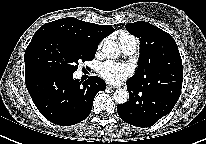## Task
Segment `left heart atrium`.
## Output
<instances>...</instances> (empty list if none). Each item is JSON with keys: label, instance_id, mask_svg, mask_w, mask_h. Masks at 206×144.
<instances>
[{"label": "left heart atrium", "instance_id": "left-heart-atrium-1", "mask_svg": "<svg viewBox=\"0 0 206 144\" xmlns=\"http://www.w3.org/2000/svg\"><path fill=\"white\" fill-rule=\"evenodd\" d=\"M99 75L111 84H119L127 79L132 71L131 68L124 63L107 61L100 65Z\"/></svg>", "mask_w": 206, "mask_h": 144}]
</instances>
